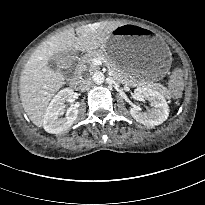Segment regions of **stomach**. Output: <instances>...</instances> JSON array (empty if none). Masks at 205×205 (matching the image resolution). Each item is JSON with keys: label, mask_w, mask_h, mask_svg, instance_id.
<instances>
[{"label": "stomach", "mask_w": 205, "mask_h": 205, "mask_svg": "<svg viewBox=\"0 0 205 205\" xmlns=\"http://www.w3.org/2000/svg\"><path fill=\"white\" fill-rule=\"evenodd\" d=\"M101 52L141 83L163 79L172 63L163 38L147 27L131 23L116 27Z\"/></svg>", "instance_id": "obj_1"}]
</instances>
